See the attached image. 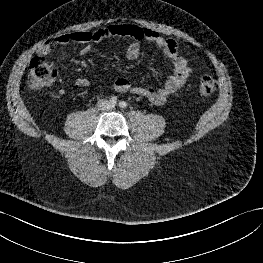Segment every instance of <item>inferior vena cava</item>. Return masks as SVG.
<instances>
[{
  "mask_svg": "<svg viewBox=\"0 0 263 263\" xmlns=\"http://www.w3.org/2000/svg\"><path fill=\"white\" fill-rule=\"evenodd\" d=\"M97 106L100 110H109L112 108L111 103L106 99L99 100Z\"/></svg>",
  "mask_w": 263,
  "mask_h": 263,
  "instance_id": "1",
  "label": "inferior vena cava"
}]
</instances>
